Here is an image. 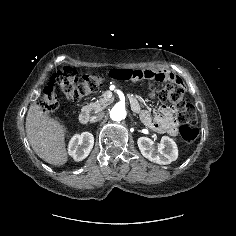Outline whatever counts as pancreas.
I'll list each match as a JSON object with an SVG mask.
<instances>
[{
    "instance_id": "cf45deb5",
    "label": "pancreas",
    "mask_w": 236,
    "mask_h": 236,
    "mask_svg": "<svg viewBox=\"0 0 236 236\" xmlns=\"http://www.w3.org/2000/svg\"><path fill=\"white\" fill-rule=\"evenodd\" d=\"M111 102H112V99H107L105 97H101L97 101L84 106V109H86L88 111H94L97 113V112L103 110L104 108H106Z\"/></svg>"
}]
</instances>
